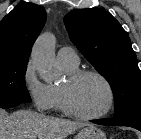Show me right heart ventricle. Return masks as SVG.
<instances>
[{
  "instance_id": "right-heart-ventricle-1",
  "label": "right heart ventricle",
  "mask_w": 141,
  "mask_h": 139,
  "mask_svg": "<svg viewBox=\"0 0 141 139\" xmlns=\"http://www.w3.org/2000/svg\"><path fill=\"white\" fill-rule=\"evenodd\" d=\"M62 67L65 69L67 73L74 72L78 70L77 66H65L62 65ZM51 95H52V107L56 109H61V100H60V91H59V86H49Z\"/></svg>"
}]
</instances>
